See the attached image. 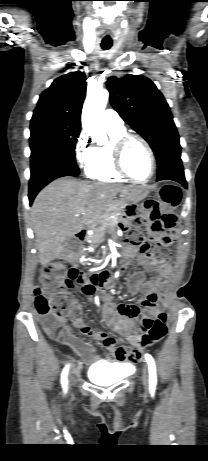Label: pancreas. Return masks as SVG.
I'll return each instance as SVG.
<instances>
[{"label":"pancreas","instance_id":"1","mask_svg":"<svg viewBox=\"0 0 208 461\" xmlns=\"http://www.w3.org/2000/svg\"><path fill=\"white\" fill-rule=\"evenodd\" d=\"M126 206L127 204L125 202H117L109 206V208L97 221L99 226L93 229L91 239L95 242H101L104 240L106 232L115 233V227L121 220Z\"/></svg>","mask_w":208,"mask_h":461}]
</instances>
